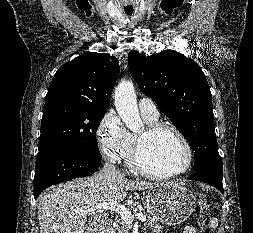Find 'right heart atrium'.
Wrapping results in <instances>:
<instances>
[{
  "label": "right heart atrium",
  "mask_w": 253,
  "mask_h": 233,
  "mask_svg": "<svg viewBox=\"0 0 253 233\" xmlns=\"http://www.w3.org/2000/svg\"><path fill=\"white\" fill-rule=\"evenodd\" d=\"M96 136L101 154L112 162L120 161L130 144V133L113 110L101 119Z\"/></svg>",
  "instance_id": "1"
}]
</instances>
